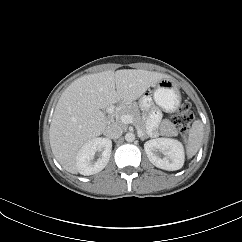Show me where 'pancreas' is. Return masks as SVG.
I'll return each instance as SVG.
<instances>
[{
  "instance_id": "1",
  "label": "pancreas",
  "mask_w": 242,
  "mask_h": 242,
  "mask_svg": "<svg viewBox=\"0 0 242 242\" xmlns=\"http://www.w3.org/2000/svg\"><path fill=\"white\" fill-rule=\"evenodd\" d=\"M124 114L131 115L133 117L134 124L137 125L144 134H146V125L141 120L136 104L134 103L124 104L115 110V117L117 120H120V116ZM160 130H161V134L165 136L177 135V129L168 120H165L162 122Z\"/></svg>"
}]
</instances>
